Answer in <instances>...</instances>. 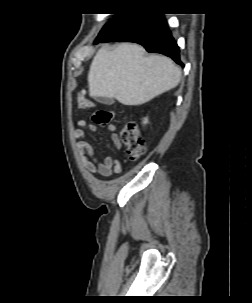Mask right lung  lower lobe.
<instances>
[{
    "label": "right lung lower lobe",
    "instance_id": "98d812e1",
    "mask_svg": "<svg viewBox=\"0 0 252 303\" xmlns=\"http://www.w3.org/2000/svg\"><path fill=\"white\" fill-rule=\"evenodd\" d=\"M134 42L148 52L164 54L184 67L179 58V48L167 27L162 14H123L117 23L98 42Z\"/></svg>",
    "mask_w": 252,
    "mask_h": 303
}]
</instances>
